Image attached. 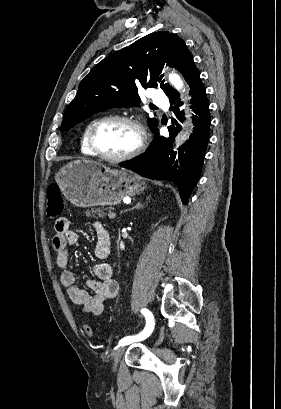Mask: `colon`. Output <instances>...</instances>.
Returning <instances> with one entry per match:
<instances>
[{
  "label": "colon",
  "mask_w": 281,
  "mask_h": 409,
  "mask_svg": "<svg viewBox=\"0 0 281 409\" xmlns=\"http://www.w3.org/2000/svg\"><path fill=\"white\" fill-rule=\"evenodd\" d=\"M47 204V213L50 218H57L62 214L64 210V202L58 185H51L48 187ZM86 333L90 334L91 330L87 329Z\"/></svg>",
  "instance_id": "colon-1"
}]
</instances>
